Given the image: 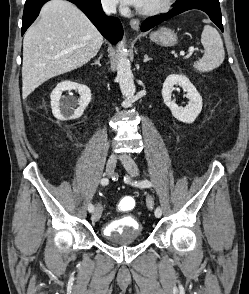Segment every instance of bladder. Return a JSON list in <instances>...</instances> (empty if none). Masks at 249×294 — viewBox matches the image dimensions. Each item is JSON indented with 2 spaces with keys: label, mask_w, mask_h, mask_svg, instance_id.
Returning <instances> with one entry per match:
<instances>
[{
  "label": "bladder",
  "mask_w": 249,
  "mask_h": 294,
  "mask_svg": "<svg viewBox=\"0 0 249 294\" xmlns=\"http://www.w3.org/2000/svg\"><path fill=\"white\" fill-rule=\"evenodd\" d=\"M142 234L141 223L132 216L114 218L104 227L103 237L107 241L117 238L139 240Z\"/></svg>",
  "instance_id": "obj_1"
}]
</instances>
